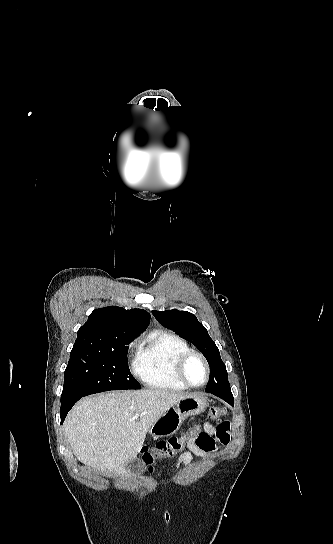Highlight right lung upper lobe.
Returning <instances> with one entry per match:
<instances>
[{"mask_svg":"<svg viewBox=\"0 0 333 544\" xmlns=\"http://www.w3.org/2000/svg\"><path fill=\"white\" fill-rule=\"evenodd\" d=\"M149 322L150 314L143 309L125 310L117 306L95 309L78 330L73 349L104 350L115 339L137 337Z\"/></svg>","mask_w":333,"mask_h":544,"instance_id":"cb5924a9","label":"right lung upper lobe"}]
</instances>
